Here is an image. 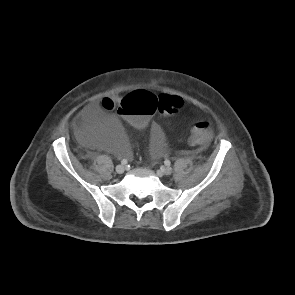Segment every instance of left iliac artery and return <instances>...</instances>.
I'll return each mask as SVG.
<instances>
[{"mask_svg":"<svg viewBox=\"0 0 295 295\" xmlns=\"http://www.w3.org/2000/svg\"><path fill=\"white\" fill-rule=\"evenodd\" d=\"M164 163H165L166 166H169L170 165V161L169 160H165Z\"/></svg>","mask_w":295,"mask_h":295,"instance_id":"obj_1","label":"left iliac artery"}]
</instances>
